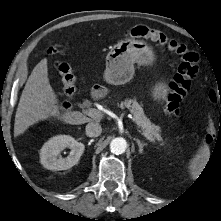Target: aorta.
<instances>
[{
    "label": "aorta",
    "mask_w": 221,
    "mask_h": 221,
    "mask_svg": "<svg viewBox=\"0 0 221 221\" xmlns=\"http://www.w3.org/2000/svg\"><path fill=\"white\" fill-rule=\"evenodd\" d=\"M127 148V142L124 138H115L110 143L111 152L114 154H122Z\"/></svg>",
    "instance_id": "obj_1"
}]
</instances>
